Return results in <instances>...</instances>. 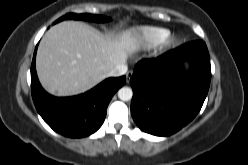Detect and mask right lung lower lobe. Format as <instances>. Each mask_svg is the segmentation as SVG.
Returning a JSON list of instances; mask_svg holds the SVG:
<instances>
[{
    "mask_svg": "<svg viewBox=\"0 0 248 165\" xmlns=\"http://www.w3.org/2000/svg\"><path fill=\"white\" fill-rule=\"evenodd\" d=\"M36 50L31 65V92L35 107L44 121L54 131L71 138L85 137L97 131L106 117L112 96L124 85L126 77L108 78L78 96L53 97L43 90L38 81Z\"/></svg>",
    "mask_w": 248,
    "mask_h": 165,
    "instance_id": "1",
    "label": "right lung lower lobe"
}]
</instances>
